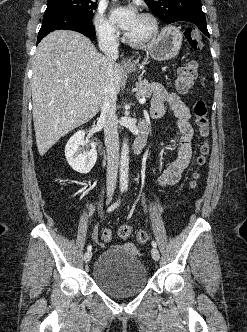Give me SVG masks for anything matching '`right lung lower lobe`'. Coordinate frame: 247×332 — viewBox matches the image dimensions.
I'll return each instance as SVG.
<instances>
[{"instance_id":"right-lung-lower-lobe-1","label":"right lung lower lobe","mask_w":247,"mask_h":332,"mask_svg":"<svg viewBox=\"0 0 247 332\" xmlns=\"http://www.w3.org/2000/svg\"><path fill=\"white\" fill-rule=\"evenodd\" d=\"M55 30H73L87 37L96 35L92 19L73 13L45 14L38 33L37 44L50 32Z\"/></svg>"}]
</instances>
